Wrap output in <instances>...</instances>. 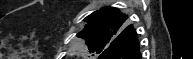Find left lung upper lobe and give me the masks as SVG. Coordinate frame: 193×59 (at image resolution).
Listing matches in <instances>:
<instances>
[{"instance_id":"left-lung-upper-lobe-1","label":"left lung upper lobe","mask_w":193,"mask_h":59,"mask_svg":"<svg viewBox=\"0 0 193 59\" xmlns=\"http://www.w3.org/2000/svg\"><path fill=\"white\" fill-rule=\"evenodd\" d=\"M119 9L113 7L102 8L87 16L89 23L77 34L86 41L87 50L102 54L107 48L113 46L127 29V16L120 14Z\"/></svg>"}]
</instances>
